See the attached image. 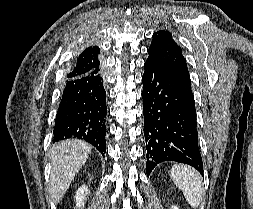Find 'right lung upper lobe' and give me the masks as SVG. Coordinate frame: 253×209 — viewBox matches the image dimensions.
<instances>
[{
    "label": "right lung upper lobe",
    "instance_id": "1",
    "mask_svg": "<svg viewBox=\"0 0 253 209\" xmlns=\"http://www.w3.org/2000/svg\"><path fill=\"white\" fill-rule=\"evenodd\" d=\"M101 69L100 49L98 46L87 47L75 60L67 79H75Z\"/></svg>",
    "mask_w": 253,
    "mask_h": 209
}]
</instances>
